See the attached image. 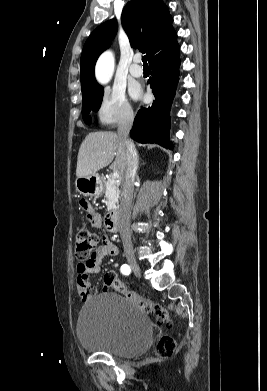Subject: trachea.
I'll list each match as a JSON object with an SVG mask.
<instances>
[{"instance_id": "trachea-1", "label": "trachea", "mask_w": 267, "mask_h": 391, "mask_svg": "<svg viewBox=\"0 0 267 391\" xmlns=\"http://www.w3.org/2000/svg\"><path fill=\"white\" fill-rule=\"evenodd\" d=\"M142 62H143L144 65H147L146 57H145V56L142 57Z\"/></svg>"}]
</instances>
